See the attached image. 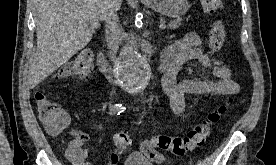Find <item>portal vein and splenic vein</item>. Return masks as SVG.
Wrapping results in <instances>:
<instances>
[{"label":"portal vein and splenic vein","mask_w":276,"mask_h":165,"mask_svg":"<svg viewBox=\"0 0 276 165\" xmlns=\"http://www.w3.org/2000/svg\"><path fill=\"white\" fill-rule=\"evenodd\" d=\"M98 26H99V23H98V22H95V23L92 24V27H93V28H96V27H98ZM165 28H166L165 22H164V21H161V23H160V29H165Z\"/></svg>","instance_id":"18ae733b"}]
</instances>
